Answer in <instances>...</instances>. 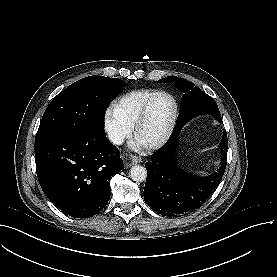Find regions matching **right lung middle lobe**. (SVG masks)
<instances>
[{
	"instance_id": "obj_1",
	"label": "right lung middle lobe",
	"mask_w": 277,
	"mask_h": 277,
	"mask_svg": "<svg viewBox=\"0 0 277 277\" xmlns=\"http://www.w3.org/2000/svg\"><path fill=\"white\" fill-rule=\"evenodd\" d=\"M126 85L121 79L97 75L71 84L49 104L36 136L104 130L105 111Z\"/></svg>"
}]
</instances>
